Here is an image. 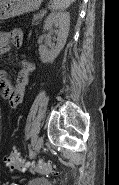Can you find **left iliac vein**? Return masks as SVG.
Wrapping results in <instances>:
<instances>
[{
  "mask_svg": "<svg viewBox=\"0 0 119 185\" xmlns=\"http://www.w3.org/2000/svg\"><path fill=\"white\" fill-rule=\"evenodd\" d=\"M43 143H44L43 137H39L38 140L34 144L33 152L31 154V158H34L36 156V154L39 152V150L43 146Z\"/></svg>",
  "mask_w": 119,
  "mask_h": 185,
  "instance_id": "left-iliac-vein-1",
  "label": "left iliac vein"
}]
</instances>
